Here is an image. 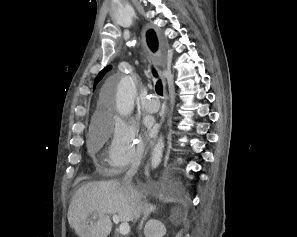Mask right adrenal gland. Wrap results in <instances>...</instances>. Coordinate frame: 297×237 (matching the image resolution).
I'll return each instance as SVG.
<instances>
[{"mask_svg": "<svg viewBox=\"0 0 297 237\" xmlns=\"http://www.w3.org/2000/svg\"><path fill=\"white\" fill-rule=\"evenodd\" d=\"M156 210V206L148 203L147 199L145 198L144 200V217L142 218L140 225H139V229H142V226L144 224V222L147 220L148 216L154 212Z\"/></svg>", "mask_w": 297, "mask_h": 237, "instance_id": "1", "label": "right adrenal gland"}]
</instances>
